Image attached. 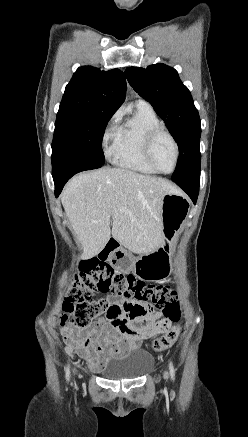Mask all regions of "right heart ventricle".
Returning a JSON list of instances; mask_svg holds the SVG:
<instances>
[{
  "label": "right heart ventricle",
  "instance_id": "obj_1",
  "mask_svg": "<svg viewBox=\"0 0 248 437\" xmlns=\"http://www.w3.org/2000/svg\"><path fill=\"white\" fill-rule=\"evenodd\" d=\"M158 126L161 123L152 108L137 106L133 116L118 127L111 149L113 162L142 174H156L145 159L143 146L148 132Z\"/></svg>",
  "mask_w": 248,
  "mask_h": 437
}]
</instances>
